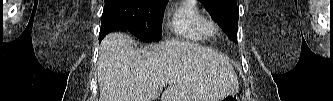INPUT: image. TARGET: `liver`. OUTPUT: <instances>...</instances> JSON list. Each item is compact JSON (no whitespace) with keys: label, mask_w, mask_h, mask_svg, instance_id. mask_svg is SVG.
<instances>
[{"label":"liver","mask_w":333,"mask_h":101,"mask_svg":"<svg viewBox=\"0 0 333 101\" xmlns=\"http://www.w3.org/2000/svg\"><path fill=\"white\" fill-rule=\"evenodd\" d=\"M121 32L105 37L99 48V101H218L236 93L237 76L228 58L198 44L167 40L135 48Z\"/></svg>","instance_id":"1"}]
</instances>
